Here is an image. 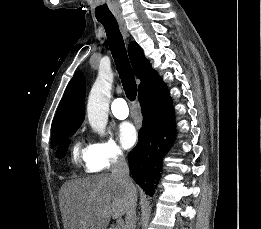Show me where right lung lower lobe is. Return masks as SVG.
<instances>
[{"label":"right lung lower lobe","mask_w":261,"mask_h":229,"mask_svg":"<svg viewBox=\"0 0 261 229\" xmlns=\"http://www.w3.org/2000/svg\"><path fill=\"white\" fill-rule=\"evenodd\" d=\"M143 126L129 154V169L137 184L150 196L157 188L162 161L174 140L175 124L171 98L160 79L138 94Z\"/></svg>","instance_id":"obj_1"}]
</instances>
